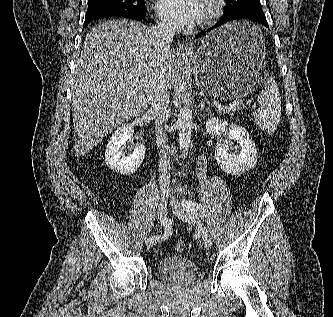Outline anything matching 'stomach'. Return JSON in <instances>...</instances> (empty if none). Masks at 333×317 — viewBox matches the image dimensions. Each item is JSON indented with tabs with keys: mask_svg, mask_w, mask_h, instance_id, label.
<instances>
[{
	"mask_svg": "<svg viewBox=\"0 0 333 317\" xmlns=\"http://www.w3.org/2000/svg\"><path fill=\"white\" fill-rule=\"evenodd\" d=\"M265 41L260 24L235 21L205 36L190 64L198 87L223 100L260 95L270 82L264 75Z\"/></svg>",
	"mask_w": 333,
	"mask_h": 317,
	"instance_id": "0dacf381",
	"label": "stomach"
}]
</instances>
